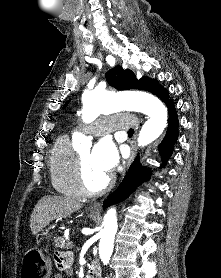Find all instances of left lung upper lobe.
I'll use <instances>...</instances> for the list:
<instances>
[{
	"label": "left lung upper lobe",
	"mask_w": 221,
	"mask_h": 278,
	"mask_svg": "<svg viewBox=\"0 0 221 278\" xmlns=\"http://www.w3.org/2000/svg\"><path fill=\"white\" fill-rule=\"evenodd\" d=\"M106 79L110 86L116 88L117 90H146L157 95L162 101L166 102V104L171 101L169 100L168 91L160 86L156 80L145 76L141 79H137L131 70H124L121 66H116L115 68L111 69L106 74ZM67 104L68 102L64 105V108L67 106Z\"/></svg>",
	"instance_id": "1"
}]
</instances>
